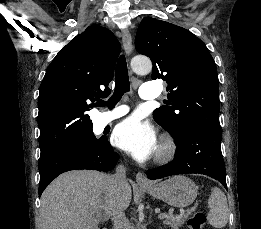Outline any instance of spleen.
<instances>
[{
    "instance_id": "spleen-1",
    "label": "spleen",
    "mask_w": 261,
    "mask_h": 229,
    "mask_svg": "<svg viewBox=\"0 0 261 229\" xmlns=\"http://www.w3.org/2000/svg\"><path fill=\"white\" fill-rule=\"evenodd\" d=\"M208 205L210 207L207 217L209 225L216 227V229L226 227L229 211L225 193L214 187L208 199Z\"/></svg>"
}]
</instances>
